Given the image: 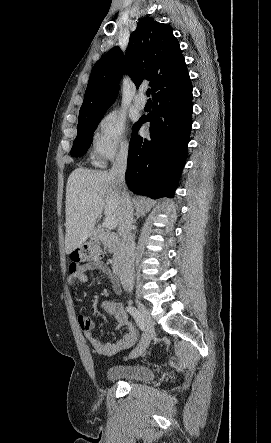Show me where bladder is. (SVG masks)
Listing matches in <instances>:
<instances>
[{
    "label": "bladder",
    "instance_id": "obj_1",
    "mask_svg": "<svg viewBox=\"0 0 271 443\" xmlns=\"http://www.w3.org/2000/svg\"><path fill=\"white\" fill-rule=\"evenodd\" d=\"M108 381L146 382L154 379L153 370L145 365H116L105 372Z\"/></svg>",
    "mask_w": 271,
    "mask_h": 443
}]
</instances>
